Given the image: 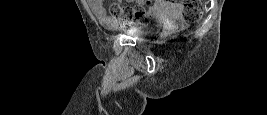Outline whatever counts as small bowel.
<instances>
[{"instance_id": "1", "label": "small bowel", "mask_w": 267, "mask_h": 115, "mask_svg": "<svg viewBox=\"0 0 267 115\" xmlns=\"http://www.w3.org/2000/svg\"><path fill=\"white\" fill-rule=\"evenodd\" d=\"M138 3H141V1H137ZM89 6L93 13L101 18L106 19V10L104 8V4L102 0H89L88 1ZM177 6L174 4H170L164 0H155L153 3L149 6V11L151 14L155 15H162L169 11H176Z\"/></svg>"}]
</instances>
